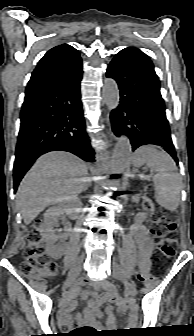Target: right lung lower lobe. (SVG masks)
Here are the masks:
<instances>
[{"mask_svg": "<svg viewBox=\"0 0 194 336\" xmlns=\"http://www.w3.org/2000/svg\"><path fill=\"white\" fill-rule=\"evenodd\" d=\"M82 64L66 76L26 91L13 169L14 191L33 162L52 150L94 161L80 95Z\"/></svg>", "mask_w": 194, "mask_h": 336, "instance_id": "right-lung-lower-lobe-1", "label": "right lung lower lobe"}]
</instances>
